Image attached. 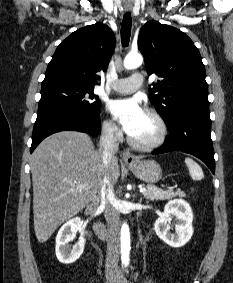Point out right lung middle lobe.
<instances>
[{
    "instance_id": "right-lung-middle-lobe-1",
    "label": "right lung middle lobe",
    "mask_w": 233,
    "mask_h": 283,
    "mask_svg": "<svg viewBox=\"0 0 233 283\" xmlns=\"http://www.w3.org/2000/svg\"><path fill=\"white\" fill-rule=\"evenodd\" d=\"M49 108L72 110L87 115H98L101 102L94 89L64 81L45 82L41 85L38 112Z\"/></svg>"
}]
</instances>
